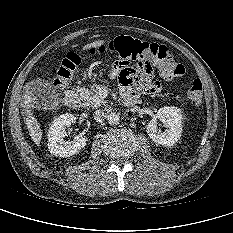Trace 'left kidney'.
Listing matches in <instances>:
<instances>
[{"mask_svg": "<svg viewBox=\"0 0 233 233\" xmlns=\"http://www.w3.org/2000/svg\"><path fill=\"white\" fill-rule=\"evenodd\" d=\"M157 119L166 127L164 131L157 130ZM146 131L150 139L159 145L173 146L181 137L182 112L177 107L165 106L158 110L155 118L147 125Z\"/></svg>", "mask_w": 233, "mask_h": 233, "instance_id": "5707ae66", "label": "left kidney"}]
</instances>
